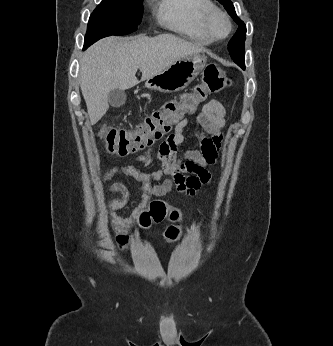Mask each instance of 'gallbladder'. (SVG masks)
<instances>
[{
  "instance_id": "1",
  "label": "gallbladder",
  "mask_w": 333,
  "mask_h": 346,
  "mask_svg": "<svg viewBox=\"0 0 333 346\" xmlns=\"http://www.w3.org/2000/svg\"><path fill=\"white\" fill-rule=\"evenodd\" d=\"M126 101V94L123 90L114 89L108 94V103L114 107H121Z\"/></svg>"
}]
</instances>
